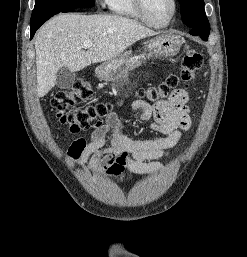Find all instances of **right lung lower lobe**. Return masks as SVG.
<instances>
[{"label":"right lung lower lobe","instance_id":"1","mask_svg":"<svg viewBox=\"0 0 247 257\" xmlns=\"http://www.w3.org/2000/svg\"><path fill=\"white\" fill-rule=\"evenodd\" d=\"M76 11L75 9L73 10H64V11H59V12H54V13H50V14H47L45 16H42L36 20H33V21H30V26H31V39L33 38L36 30L45 22L47 21L49 18H51L52 16H54L55 14L57 13H60V12H74Z\"/></svg>","mask_w":247,"mask_h":257}]
</instances>
